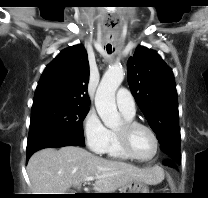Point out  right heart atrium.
Instances as JSON below:
<instances>
[{"mask_svg":"<svg viewBox=\"0 0 208 198\" xmlns=\"http://www.w3.org/2000/svg\"><path fill=\"white\" fill-rule=\"evenodd\" d=\"M83 133L86 144L92 152L96 154L105 152L109 141V130L94 110H90L84 117Z\"/></svg>","mask_w":208,"mask_h":198,"instance_id":"d8ad5b80","label":"right heart atrium"}]
</instances>
